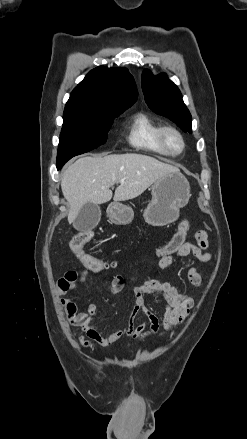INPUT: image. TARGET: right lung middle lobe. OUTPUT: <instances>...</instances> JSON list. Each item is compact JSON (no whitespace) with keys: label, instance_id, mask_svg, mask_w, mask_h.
Instances as JSON below:
<instances>
[{"label":"right lung middle lobe","instance_id":"1","mask_svg":"<svg viewBox=\"0 0 247 439\" xmlns=\"http://www.w3.org/2000/svg\"><path fill=\"white\" fill-rule=\"evenodd\" d=\"M126 109L107 112H64L63 127L58 145L57 167L72 157L104 144L113 119Z\"/></svg>","mask_w":247,"mask_h":439}]
</instances>
